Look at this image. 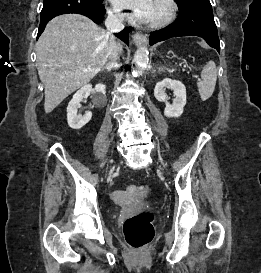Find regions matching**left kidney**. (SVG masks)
Returning a JSON list of instances; mask_svg holds the SVG:
<instances>
[{
  "label": "left kidney",
  "instance_id": "left-kidney-1",
  "mask_svg": "<svg viewBox=\"0 0 261 273\" xmlns=\"http://www.w3.org/2000/svg\"><path fill=\"white\" fill-rule=\"evenodd\" d=\"M166 89H171L176 96L173 103L170 104L167 100V95L165 93ZM154 96L157 101L165 102L164 115L169 118L180 117L183 113V108L186 105V88L178 80H172L170 78H165L158 82L154 89Z\"/></svg>",
  "mask_w": 261,
  "mask_h": 273
}]
</instances>
